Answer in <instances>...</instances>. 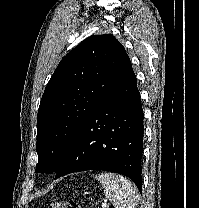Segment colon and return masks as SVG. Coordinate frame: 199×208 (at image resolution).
<instances>
[{"label":"colon","instance_id":"obj_1","mask_svg":"<svg viewBox=\"0 0 199 208\" xmlns=\"http://www.w3.org/2000/svg\"><path fill=\"white\" fill-rule=\"evenodd\" d=\"M47 208H81V207L72 200H59L48 203Z\"/></svg>","mask_w":199,"mask_h":208}]
</instances>
